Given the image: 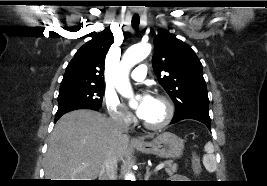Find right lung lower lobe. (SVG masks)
I'll return each instance as SVG.
<instances>
[{"instance_id":"1","label":"right lung lower lobe","mask_w":267,"mask_h":186,"mask_svg":"<svg viewBox=\"0 0 267 186\" xmlns=\"http://www.w3.org/2000/svg\"><path fill=\"white\" fill-rule=\"evenodd\" d=\"M77 109H92V110H98L99 106H93V105H74V106H65L58 108V111L55 115V122L65 113L77 110ZM114 185V184H109Z\"/></svg>"}]
</instances>
